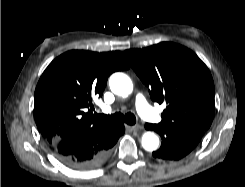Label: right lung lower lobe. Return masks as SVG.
<instances>
[{
  "instance_id": "right-lung-lower-lobe-1",
  "label": "right lung lower lobe",
  "mask_w": 245,
  "mask_h": 187,
  "mask_svg": "<svg viewBox=\"0 0 245 187\" xmlns=\"http://www.w3.org/2000/svg\"><path fill=\"white\" fill-rule=\"evenodd\" d=\"M124 132L123 125L90 128L57 141L51 148L58 160L66 166L77 170H91L109 159L112 147Z\"/></svg>"
}]
</instances>
